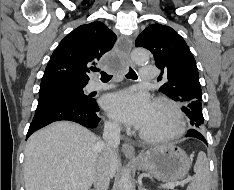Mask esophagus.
Returning <instances> with one entry per match:
<instances>
[{
  "mask_svg": "<svg viewBox=\"0 0 234 190\" xmlns=\"http://www.w3.org/2000/svg\"><path fill=\"white\" fill-rule=\"evenodd\" d=\"M119 46L121 49V53L127 63L130 62V52L132 48V41L129 37L124 36L121 37L119 41ZM122 152L127 158L135 159V149L130 143H123L122 144Z\"/></svg>",
  "mask_w": 234,
  "mask_h": 190,
  "instance_id": "esophagus-1",
  "label": "esophagus"
}]
</instances>
